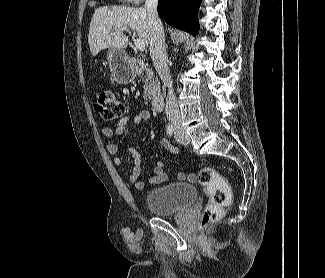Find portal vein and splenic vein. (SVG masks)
<instances>
[{"instance_id": "portal-vein-and-splenic-vein-1", "label": "portal vein and splenic vein", "mask_w": 325, "mask_h": 278, "mask_svg": "<svg viewBox=\"0 0 325 278\" xmlns=\"http://www.w3.org/2000/svg\"><path fill=\"white\" fill-rule=\"evenodd\" d=\"M122 31H126L129 33L127 28H123ZM131 35V33H129ZM132 39L134 41L135 47L139 50V51H144L145 50V43L142 39L137 38L135 39L134 35L132 36Z\"/></svg>"}]
</instances>
